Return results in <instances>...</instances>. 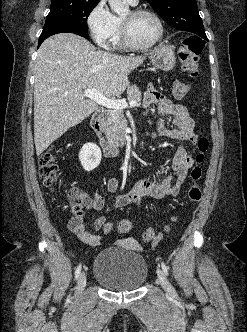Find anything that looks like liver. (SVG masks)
Here are the masks:
<instances>
[{
	"mask_svg": "<svg viewBox=\"0 0 247 332\" xmlns=\"http://www.w3.org/2000/svg\"><path fill=\"white\" fill-rule=\"evenodd\" d=\"M145 56H123L96 50L86 39L60 33L38 50L34 84V142L39 156L68 129L97 108L83 90L94 88L106 97L120 96L128 75Z\"/></svg>",
	"mask_w": 247,
	"mask_h": 332,
	"instance_id": "6515ba94",
	"label": "liver"
}]
</instances>
